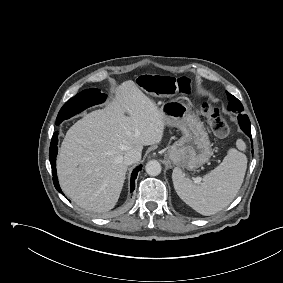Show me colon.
<instances>
[{
    "instance_id": "1",
    "label": "colon",
    "mask_w": 283,
    "mask_h": 283,
    "mask_svg": "<svg viewBox=\"0 0 283 283\" xmlns=\"http://www.w3.org/2000/svg\"><path fill=\"white\" fill-rule=\"evenodd\" d=\"M138 85L149 94L168 96L189 93L191 82L187 78L174 79L166 76L144 75L138 79ZM202 109L208 117L213 132L219 137L227 136L230 128L222 112L210 104H204Z\"/></svg>"
}]
</instances>
